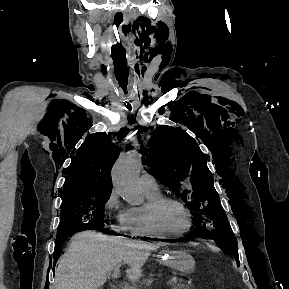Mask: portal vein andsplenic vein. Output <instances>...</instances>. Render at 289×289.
I'll return each mask as SVG.
<instances>
[{
  "label": "portal vein and splenic vein",
  "mask_w": 289,
  "mask_h": 289,
  "mask_svg": "<svg viewBox=\"0 0 289 289\" xmlns=\"http://www.w3.org/2000/svg\"><path fill=\"white\" fill-rule=\"evenodd\" d=\"M119 268H120L119 265L114 268V270H113V276L114 277H116V275L119 273V271H120ZM123 289H133V288L132 287H124Z\"/></svg>",
  "instance_id": "portal-vein-and-splenic-vein-1"
}]
</instances>
